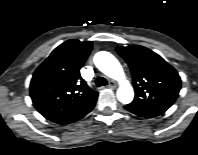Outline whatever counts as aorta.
<instances>
[{
    "label": "aorta",
    "mask_w": 198,
    "mask_h": 155,
    "mask_svg": "<svg viewBox=\"0 0 198 155\" xmlns=\"http://www.w3.org/2000/svg\"><path fill=\"white\" fill-rule=\"evenodd\" d=\"M93 61L102 73L119 82L120 86L117 90L118 100L123 104L130 103L134 98V91L130 83L125 79V74L119 61L107 51L97 52Z\"/></svg>",
    "instance_id": "762f6f07"
}]
</instances>
